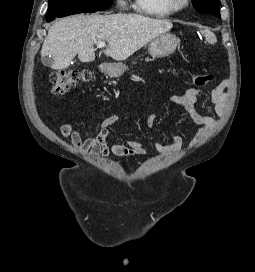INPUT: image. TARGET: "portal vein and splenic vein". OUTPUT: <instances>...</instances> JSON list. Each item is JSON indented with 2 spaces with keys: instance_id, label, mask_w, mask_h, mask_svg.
<instances>
[{
  "instance_id": "obj_1",
  "label": "portal vein and splenic vein",
  "mask_w": 255,
  "mask_h": 272,
  "mask_svg": "<svg viewBox=\"0 0 255 272\" xmlns=\"http://www.w3.org/2000/svg\"><path fill=\"white\" fill-rule=\"evenodd\" d=\"M97 46L100 47V48H103L106 46L105 42L104 41H97L96 42Z\"/></svg>"
}]
</instances>
